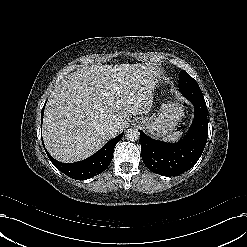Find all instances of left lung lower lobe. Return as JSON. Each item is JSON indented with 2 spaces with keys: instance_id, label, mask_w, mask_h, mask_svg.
<instances>
[{
  "instance_id": "left-lung-lower-lobe-1",
  "label": "left lung lower lobe",
  "mask_w": 247,
  "mask_h": 247,
  "mask_svg": "<svg viewBox=\"0 0 247 247\" xmlns=\"http://www.w3.org/2000/svg\"><path fill=\"white\" fill-rule=\"evenodd\" d=\"M179 89L195 108V117L185 138L169 144L154 140L140 131L144 164L152 172L163 176H177L192 168L202 155L208 137L207 107L198 84Z\"/></svg>"
}]
</instances>
